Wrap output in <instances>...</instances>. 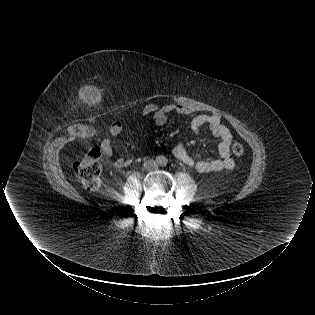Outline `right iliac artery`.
Returning a JSON list of instances; mask_svg holds the SVG:
<instances>
[{
    "label": "right iliac artery",
    "mask_w": 315,
    "mask_h": 315,
    "mask_svg": "<svg viewBox=\"0 0 315 315\" xmlns=\"http://www.w3.org/2000/svg\"><path fill=\"white\" fill-rule=\"evenodd\" d=\"M161 161H162L161 158L158 157V158H157V162H158V163H161Z\"/></svg>",
    "instance_id": "obj_1"
}]
</instances>
